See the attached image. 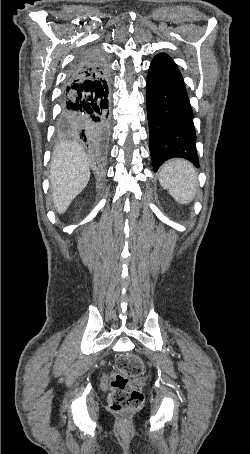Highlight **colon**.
Segmentation results:
<instances>
[{"label":"colon","instance_id":"1","mask_svg":"<svg viewBox=\"0 0 250 454\" xmlns=\"http://www.w3.org/2000/svg\"><path fill=\"white\" fill-rule=\"evenodd\" d=\"M143 370V361L136 354L126 353L117 358L109 381V408L113 413H127L141 405L143 394L133 385L132 378L142 374Z\"/></svg>","mask_w":250,"mask_h":454}]
</instances>
